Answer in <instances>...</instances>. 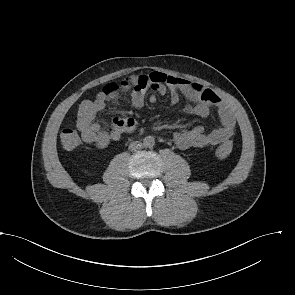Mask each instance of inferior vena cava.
<instances>
[{"label": "inferior vena cava", "instance_id": "602c4592", "mask_svg": "<svg viewBox=\"0 0 295 295\" xmlns=\"http://www.w3.org/2000/svg\"><path fill=\"white\" fill-rule=\"evenodd\" d=\"M142 147H143V144L141 142L133 141L129 145V150L130 151H138V150L142 149Z\"/></svg>", "mask_w": 295, "mask_h": 295}]
</instances>
